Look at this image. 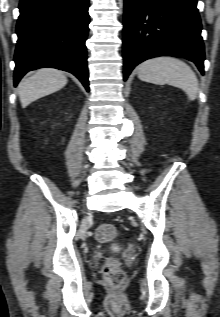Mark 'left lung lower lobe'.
<instances>
[{
	"instance_id": "1",
	"label": "left lung lower lobe",
	"mask_w": 220,
	"mask_h": 317,
	"mask_svg": "<svg viewBox=\"0 0 220 317\" xmlns=\"http://www.w3.org/2000/svg\"><path fill=\"white\" fill-rule=\"evenodd\" d=\"M197 0H125L124 80L142 61L176 55L204 73V45Z\"/></svg>"
}]
</instances>
